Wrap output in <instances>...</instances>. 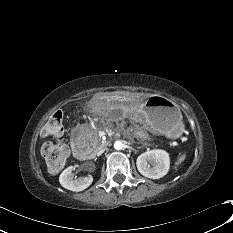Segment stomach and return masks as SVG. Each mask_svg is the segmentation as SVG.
Instances as JSON below:
<instances>
[{"label": "stomach", "instance_id": "1", "mask_svg": "<svg viewBox=\"0 0 233 233\" xmlns=\"http://www.w3.org/2000/svg\"><path fill=\"white\" fill-rule=\"evenodd\" d=\"M91 111L105 117L127 118L134 112L137 120L154 133L167 138H178L183 127L178 105L163 96H152L147 101L142 96L118 98L104 96L91 102Z\"/></svg>", "mask_w": 233, "mask_h": 233}]
</instances>
